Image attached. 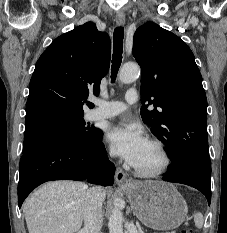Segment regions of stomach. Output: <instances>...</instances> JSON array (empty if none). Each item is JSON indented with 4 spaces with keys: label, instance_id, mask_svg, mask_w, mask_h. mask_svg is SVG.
I'll return each instance as SVG.
<instances>
[{
    "label": "stomach",
    "instance_id": "1",
    "mask_svg": "<svg viewBox=\"0 0 227 233\" xmlns=\"http://www.w3.org/2000/svg\"><path fill=\"white\" fill-rule=\"evenodd\" d=\"M134 214L147 227L170 230L187 217L186 201L172 184L157 181L135 182L125 188Z\"/></svg>",
    "mask_w": 227,
    "mask_h": 233
}]
</instances>
